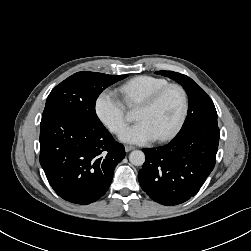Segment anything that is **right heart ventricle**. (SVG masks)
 <instances>
[{
  "mask_svg": "<svg viewBox=\"0 0 251 251\" xmlns=\"http://www.w3.org/2000/svg\"><path fill=\"white\" fill-rule=\"evenodd\" d=\"M169 82L165 78L141 75L136 76L119 87L123 102L131 107L139 105L143 100Z\"/></svg>",
  "mask_w": 251,
  "mask_h": 251,
  "instance_id": "e07e8e85",
  "label": "right heart ventricle"
}]
</instances>
